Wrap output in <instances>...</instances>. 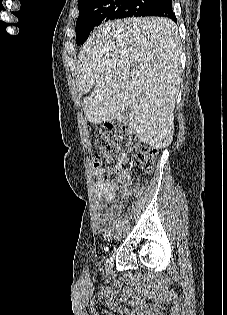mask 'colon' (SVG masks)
I'll return each mask as SVG.
<instances>
[{
    "mask_svg": "<svg viewBox=\"0 0 227 315\" xmlns=\"http://www.w3.org/2000/svg\"><path fill=\"white\" fill-rule=\"evenodd\" d=\"M100 154L93 157V167L97 176L102 180L112 178L110 163L119 151L132 154L134 165L145 172L153 170L157 150L140 139L120 123H110L102 127L96 139Z\"/></svg>",
    "mask_w": 227,
    "mask_h": 315,
    "instance_id": "obj_1",
    "label": "colon"
}]
</instances>
